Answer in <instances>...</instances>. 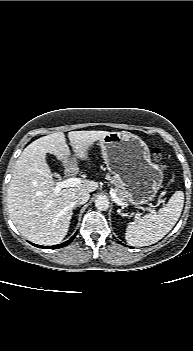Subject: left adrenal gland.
<instances>
[{
	"label": "left adrenal gland",
	"instance_id": "left-adrenal-gland-1",
	"mask_svg": "<svg viewBox=\"0 0 193 351\" xmlns=\"http://www.w3.org/2000/svg\"><path fill=\"white\" fill-rule=\"evenodd\" d=\"M117 212L120 214L121 211H120V210H117Z\"/></svg>",
	"mask_w": 193,
	"mask_h": 351
}]
</instances>
